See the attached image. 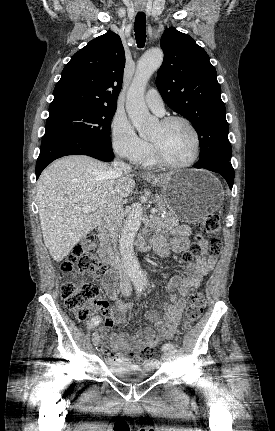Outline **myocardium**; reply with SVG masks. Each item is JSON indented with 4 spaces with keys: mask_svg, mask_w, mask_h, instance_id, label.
<instances>
[{
    "mask_svg": "<svg viewBox=\"0 0 275 431\" xmlns=\"http://www.w3.org/2000/svg\"><path fill=\"white\" fill-rule=\"evenodd\" d=\"M175 122H180L185 124L188 129L191 131L193 137H194V141H195V149H194V154L193 156L186 162L184 163H172L169 162L168 160H166L161 153L159 152L158 148L156 147V145L154 143H150V154L152 159L154 160V162L164 168L167 169H182V168H187L192 166L193 164L196 163V161L198 160L200 153H201V138L200 135L197 131V129L195 128V126L192 124V122L190 120H188L185 117L182 116H168L163 118L160 121V124L163 127H167L169 125H171L172 123Z\"/></svg>",
    "mask_w": 275,
    "mask_h": 431,
    "instance_id": "1",
    "label": "myocardium"
}]
</instances>
